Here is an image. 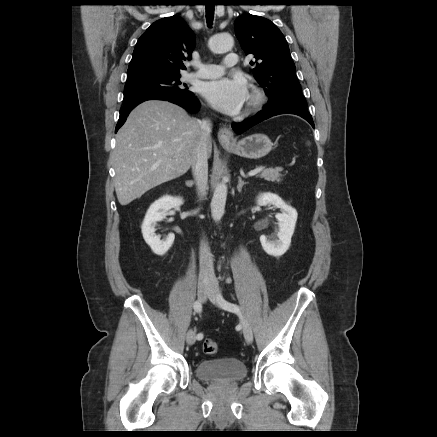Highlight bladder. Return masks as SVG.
<instances>
[{
    "mask_svg": "<svg viewBox=\"0 0 437 437\" xmlns=\"http://www.w3.org/2000/svg\"><path fill=\"white\" fill-rule=\"evenodd\" d=\"M195 373L204 381L235 382L246 376L247 368L245 363L237 358H221L198 362Z\"/></svg>",
    "mask_w": 437,
    "mask_h": 437,
    "instance_id": "31cf9c89",
    "label": "bladder"
}]
</instances>
